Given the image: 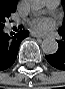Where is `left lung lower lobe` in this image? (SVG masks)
<instances>
[{
	"label": "left lung lower lobe",
	"instance_id": "1",
	"mask_svg": "<svg viewBox=\"0 0 65 89\" xmlns=\"http://www.w3.org/2000/svg\"><path fill=\"white\" fill-rule=\"evenodd\" d=\"M62 35L64 41L58 42V50L55 54L45 56L46 60L56 69L65 70V34Z\"/></svg>",
	"mask_w": 65,
	"mask_h": 89
}]
</instances>
